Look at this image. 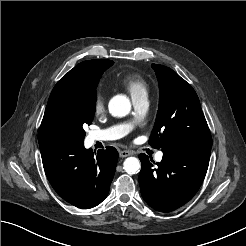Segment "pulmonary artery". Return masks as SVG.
I'll return each mask as SVG.
<instances>
[{
    "label": "pulmonary artery",
    "mask_w": 246,
    "mask_h": 246,
    "mask_svg": "<svg viewBox=\"0 0 246 246\" xmlns=\"http://www.w3.org/2000/svg\"><path fill=\"white\" fill-rule=\"evenodd\" d=\"M133 105L137 112V116L142 117L146 113L149 106L148 97L143 95L133 98ZM132 126L133 125L131 123H124L108 129L93 131L89 134V139L92 142L116 140L125 136L131 130ZM162 157L163 153L158 152L155 159L156 161H161Z\"/></svg>",
    "instance_id": "1"
}]
</instances>
